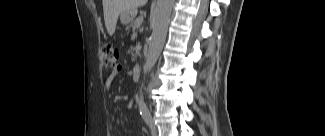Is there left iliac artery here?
Masks as SVG:
<instances>
[{
	"instance_id": "1",
	"label": "left iliac artery",
	"mask_w": 325,
	"mask_h": 136,
	"mask_svg": "<svg viewBox=\"0 0 325 136\" xmlns=\"http://www.w3.org/2000/svg\"><path fill=\"white\" fill-rule=\"evenodd\" d=\"M142 117L145 120V122L147 123V125L151 128L153 125V120H152V116L150 114V112H143L142 113Z\"/></svg>"
}]
</instances>
